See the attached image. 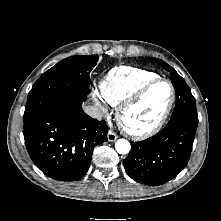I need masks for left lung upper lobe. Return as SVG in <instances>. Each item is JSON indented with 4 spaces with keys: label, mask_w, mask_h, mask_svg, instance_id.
I'll return each mask as SVG.
<instances>
[{
    "label": "left lung upper lobe",
    "mask_w": 221,
    "mask_h": 221,
    "mask_svg": "<svg viewBox=\"0 0 221 221\" xmlns=\"http://www.w3.org/2000/svg\"><path fill=\"white\" fill-rule=\"evenodd\" d=\"M167 71L170 72V76H171V81L172 84L176 89H180L182 92L186 93L189 98L192 100L191 102V107L190 109H187L188 112L183 111V112H177L173 110L172 116L170 121H185L187 123L190 124H194V125H198V115H197V109H196V103H195V98L193 97V95L191 94V91L189 90L186 82L184 81V79L171 67L169 66L167 63H165L164 61L160 60V59H156Z\"/></svg>",
    "instance_id": "obj_1"
}]
</instances>
